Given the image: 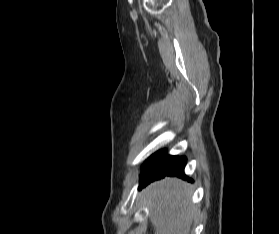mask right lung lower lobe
<instances>
[{
  "label": "right lung lower lobe",
  "instance_id": "right-lung-lower-lobe-1",
  "mask_svg": "<svg viewBox=\"0 0 279 234\" xmlns=\"http://www.w3.org/2000/svg\"><path fill=\"white\" fill-rule=\"evenodd\" d=\"M185 164V157L167 155L166 150L156 152L142 166L140 188L152 181L164 178L166 175L186 178Z\"/></svg>",
  "mask_w": 279,
  "mask_h": 234
}]
</instances>
